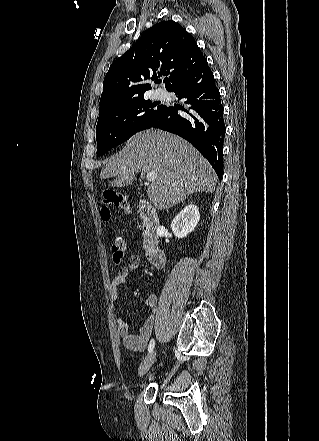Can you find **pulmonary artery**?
I'll list each match as a JSON object with an SVG mask.
<instances>
[{
    "mask_svg": "<svg viewBox=\"0 0 319 441\" xmlns=\"http://www.w3.org/2000/svg\"><path fill=\"white\" fill-rule=\"evenodd\" d=\"M154 95H155L156 98H160L161 97V93L160 92H155Z\"/></svg>",
    "mask_w": 319,
    "mask_h": 441,
    "instance_id": "e3ab8cb5",
    "label": "pulmonary artery"
}]
</instances>
